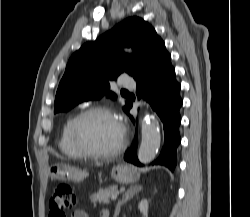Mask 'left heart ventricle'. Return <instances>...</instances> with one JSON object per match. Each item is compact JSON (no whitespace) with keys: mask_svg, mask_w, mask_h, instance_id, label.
<instances>
[{"mask_svg":"<svg viewBox=\"0 0 250 217\" xmlns=\"http://www.w3.org/2000/svg\"><path fill=\"white\" fill-rule=\"evenodd\" d=\"M79 137L89 149L104 152L113 149L120 141L119 123L104 113L86 116L79 125Z\"/></svg>","mask_w":250,"mask_h":217,"instance_id":"left-heart-ventricle-1","label":"left heart ventricle"}]
</instances>
